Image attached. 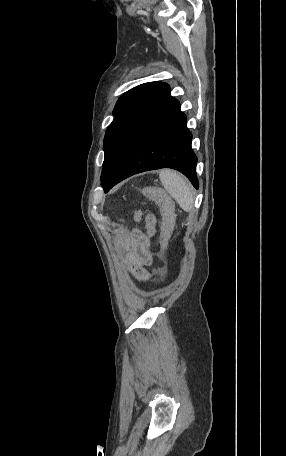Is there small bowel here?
Instances as JSON below:
<instances>
[{
	"instance_id": "1",
	"label": "small bowel",
	"mask_w": 286,
	"mask_h": 456,
	"mask_svg": "<svg viewBox=\"0 0 286 456\" xmlns=\"http://www.w3.org/2000/svg\"><path fill=\"white\" fill-rule=\"evenodd\" d=\"M135 219L142 221L145 228H136L122 235L120 242L124 251L121 261L127 273L139 281H145L151 277L147 267L153 261L150 239L155 233L156 219L152 214L143 217L140 212L136 213Z\"/></svg>"
}]
</instances>
